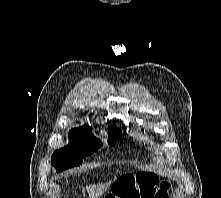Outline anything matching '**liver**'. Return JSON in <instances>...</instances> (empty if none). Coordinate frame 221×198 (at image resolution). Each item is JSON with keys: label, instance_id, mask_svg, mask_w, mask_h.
Masks as SVG:
<instances>
[{"label": "liver", "instance_id": "obj_1", "mask_svg": "<svg viewBox=\"0 0 221 198\" xmlns=\"http://www.w3.org/2000/svg\"><path fill=\"white\" fill-rule=\"evenodd\" d=\"M110 183L87 186V192L90 198H97L101 195Z\"/></svg>", "mask_w": 221, "mask_h": 198}]
</instances>
